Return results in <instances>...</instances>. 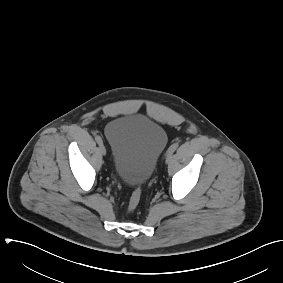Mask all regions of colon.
<instances>
[{"label": "colon", "instance_id": "1", "mask_svg": "<svg viewBox=\"0 0 283 283\" xmlns=\"http://www.w3.org/2000/svg\"><path fill=\"white\" fill-rule=\"evenodd\" d=\"M141 194H142V189L139 186L133 191L130 197L129 204H128V211H134L137 208L140 198H141Z\"/></svg>", "mask_w": 283, "mask_h": 283}]
</instances>
